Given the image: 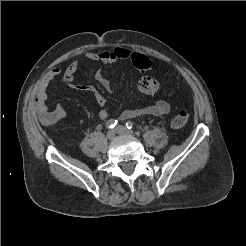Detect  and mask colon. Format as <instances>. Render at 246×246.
<instances>
[{
    "mask_svg": "<svg viewBox=\"0 0 246 246\" xmlns=\"http://www.w3.org/2000/svg\"><path fill=\"white\" fill-rule=\"evenodd\" d=\"M133 65L141 71H146L151 67L150 59L140 53L133 52L131 55ZM138 89L145 94H155L159 90V82L151 76H142L138 81ZM189 120V114L182 110L178 112L172 119V126L174 128H181L187 124Z\"/></svg>",
    "mask_w": 246,
    "mask_h": 246,
    "instance_id": "1",
    "label": "colon"
}]
</instances>
